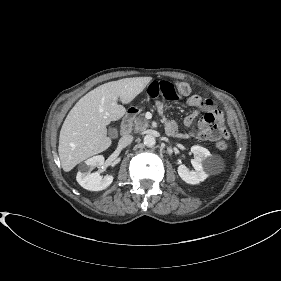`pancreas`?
Segmentation results:
<instances>
[{
	"mask_svg": "<svg viewBox=\"0 0 281 281\" xmlns=\"http://www.w3.org/2000/svg\"><path fill=\"white\" fill-rule=\"evenodd\" d=\"M128 130H134L135 132H141L148 128L149 122L144 118L143 114L138 115L137 117L128 121Z\"/></svg>",
	"mask_w": 281,
	"mask_h": 281,
	"instance_id": "cf45deb5",
	"label": "pancreas"
}]
</instances>
